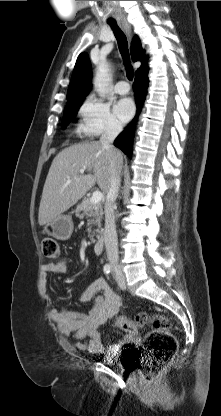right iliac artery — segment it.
<instances>
[{"mask_svg": "<svg viewBox=\"0 0 221 416\" xmlns=\"http://www.w3.org/2000/svg\"><path fill=\"white\" fill-rule=\"evenodd\" d=\"M111 270H112L111 265H109V264H106L103 268V271H104L105 274H109L111 272Z\"/></svg>", "mask_w": 221, "mask_h": 416, "instance_id": "obj_1", "label": "right iliac artery"}]
</instances>
